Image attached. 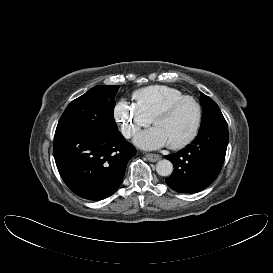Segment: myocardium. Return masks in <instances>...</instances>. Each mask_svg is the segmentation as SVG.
I'll use <instances>...</instances> for the list:
<instances>
[{
  "label": "myocardium",
  "instance_id": "obj_1",
  "mask_svg": "<svg viewBox=\"0 0 273 273\" xmlns=\"http://www.w3.org/2000/svg\"><path fill=\"white\" fill-rule=\"evenodd\" d=\"M185 101H191L194 103V105L196 106V109H197V119H196V123H195V126H194L192 132L190 133V135L186 139H184L182 142L177 143V144H173V145L168 144V146L171 149H175V150L182 149V148L188 146L198 135V132H199V129L201 126V122H202V108H201L200 103L192 96H183L181 98H178V99L173 100L172 102L168 103L164 108H162L154 116V118L152 120V123L155 126V124L158 120L168 117L176 106H178L179 104H181Z\"/></svg>",
  "mask_w": 273,
  "mask_h": 273
}]
</instances>
